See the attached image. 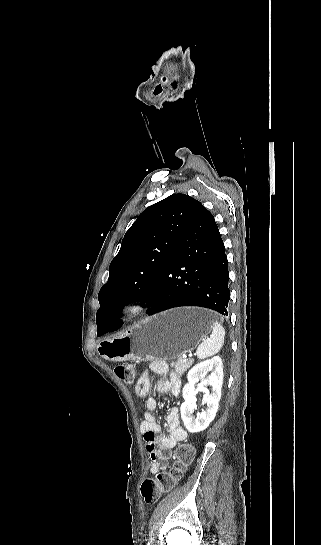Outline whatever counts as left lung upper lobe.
Here are the masks:
<instances>
[{
	"mask_svg": "<svg viewBox=\"0 0 321 545\" xmlns=\"http://www.w3.org/2000/svg\"><path fill=\"white\" fill-rule=\"evenodd\" d=\"M200 202L185 194H172L145 209L126 232L101 288L96 323L103 334L115 310L133 300H149L156 292L177 243Z\"/></svg>",
	"mask_w": 321,
	"mask_h": 545,
	"instance_id": "obj_1",
	"label": "left lung upper lobe"
}]
</instances>
